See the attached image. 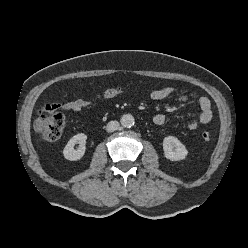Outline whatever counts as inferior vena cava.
<instances>
[{
    "instance_id": "1",
    "label": "inferior vena cava",
    "mask_w": 248,
    "mask_h": 248,
    "mask_svg": "<svg viewBox=\"0 0 248 248\" xmlns=\"http://www.w3.org/2000/svg\"><path fill=\"white\" fill-rule=\"evenodd\" d=\"M119 122L117 121H110L108 122V124L106 125V131L107 132H114L119 128Z\"/></svg>"
}]
</instances>
